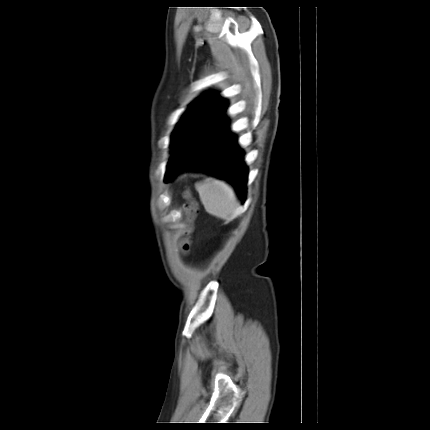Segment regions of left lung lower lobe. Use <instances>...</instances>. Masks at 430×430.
<instances>
[{
	"label": "left lung lower lobe",
	"instance_id": "left-lung-lower-lobe-1",
	"mask_svg": "<svg viewBox=\"0 0 430 430\" xmlns=\"http://www.w3.org/2000/svg\"><path fill=\"white\" fill-rule=\"evenodd\" d=\"M210 173L230 182L244 202L248 168L236 138L228 132L227 120L207 117L170 158L165 181L185 170Z\"/></svg>",
	"mask_w": 430,
	"mask_h": 430
}]
</instances>
